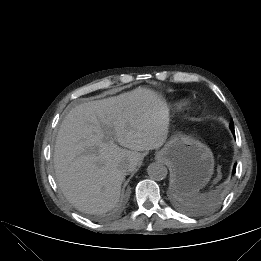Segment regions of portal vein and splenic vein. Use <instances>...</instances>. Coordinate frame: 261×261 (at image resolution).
Segmentation results:
<instances>
[{
  "instance_id": "portal-vein-and-splenic-vein-1",
  "label": "portal vein and splenic vein",
  "mask_w": 261,
  "mask_h": 261,
  "mask_svg": "<svg viewBox=\"0 0 261 261\" xmlns=\"http://www.w3.org/2000/svg\"><path fill=\"white\" fill-rule=\"evenodd\" d=\"M108 139H109V134H107V136H106V142ZM106 142L104 143V145L106 144Z\"/></svg>"
}]
</instances>
